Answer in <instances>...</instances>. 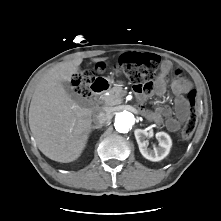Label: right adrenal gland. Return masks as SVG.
I'll use <instances>...</instances> for the list:
<instances>
[{
  "label": "right adrenal gland",
  "instance_id": "2a0ac1e0",
  "mask_svg": "<svg viewBox=\"0 0 221 221\" xmlns=\"http://www.w3.org/2000/svg\"><path fill=\"white\" fill-rule=\"evenodd\" d=\"M101 127L100 126H91V129H90V132H92L93 130H95V129H100Z\"/></svg>",
  "mask_w": 221,
  "mask_h": 221
}]
</instances>
